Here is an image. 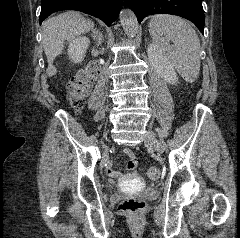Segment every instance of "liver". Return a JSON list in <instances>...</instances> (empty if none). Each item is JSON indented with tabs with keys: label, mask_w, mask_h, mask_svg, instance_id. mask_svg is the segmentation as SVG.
I'll list each match as a JSON object with an SVG mask.
<instances>
[{
	"label": "liver",
	"mask_w": 240,
	"mask_h": 238,
	"mask_svg": "<svg viewBox=\"0 0 240 238\" xmlns=\"http://www.w3.org/2000/svg\"><path fill=\"white\" fill-rule=\"evenodd\" d=\"M93 26L91 20L72 11L59 14L43 23L42 44L49 63L46 70L49 77L57 73L53 61L62 53L64 42L72 39L75 35L87 33Z\"/></svg>",
	"instance_id": "1"
}]
</instances>
